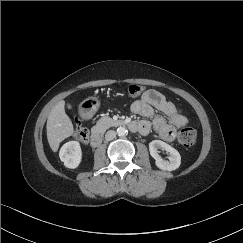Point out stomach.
<instances>
[{
  "mask_svg": "<svg viewBox=\"0 0 243 243\" xmlns=\"http://www.w3.org/2000/svg\"><path fill=\"white\" fill-rule=\"evenodd\" d=\"M100 101L96 97H90L80 104V109L85 113H94L99 109Z\"/></svg>",
  "mask_w": 243,
  "mask_h": 243,
  "instance_id": "0dacf381",
  "label": "stomach"
}]
</instances>
